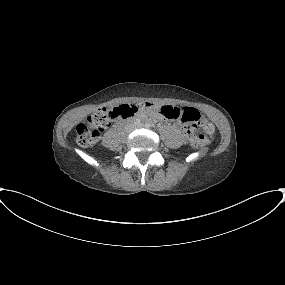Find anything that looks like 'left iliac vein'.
<instances>
[{"instance_id":"4c4485c4","label":"left iliac vein","mask_w":285,"mask_h":285,"mask_svg":"<svg viewBox=\"0 0 285 285\" xmlns=\"http://www.w3.org/2000/svg\"><path fill=\"white\" fill-rule=\"evenodd\" d=\"M143 126H144V124H142V123L138 125V127H143Z\"/></svg>"}]
</instances>
